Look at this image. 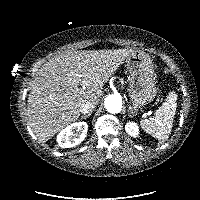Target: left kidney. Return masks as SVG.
<instances>
[{"mask_svg": "<svg viewBox=\"0 0 200 200\" xmlns=\"http://www.w3.org/2000/svg\"><path fill=\"white\" fill-rule=\"evenodd\" d=\"M125 130L130 136H132L134 138H136L139 134V126L137 125L136 122L126 123Z\"/></svg>", "mask_w": 200, "mask_h": 200, "instance_id": "1", "label": "left kidney"}]
</instances>
